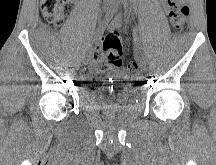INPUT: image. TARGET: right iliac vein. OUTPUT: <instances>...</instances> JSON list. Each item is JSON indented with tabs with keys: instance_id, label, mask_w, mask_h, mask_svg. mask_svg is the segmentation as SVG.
I'll use <instances>...</instances> for the list:
<instances>
[{
	"instance_id": "right-iliac-vein-1",
	"label": "right iliac vein",
	"mask_w": 216,
	"mask_h": 165,
	"mask_svg": "<svg viewBox=\"0 0 216 165\" xmlns=\"http://www.w3.org/2000/svg\"><path fill=\"white\" fill-rule=\"evenodd\" d=\"M84 59H85L87 62H86L85 64H84V63H82V66H83V67H86V66H87V64H88L90 61H89V58H88V57H86V58H84Z\"/></svg>"
}]
</instances>
